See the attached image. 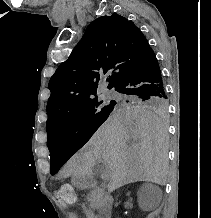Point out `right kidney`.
<instances>
[{
	"instance_id": "right-kidney-1",
	"label": "right kidney",
	"mask_w": 211,
	"mask_h": 218,
	"mask_svg": "<svg viewBox=\"0 0 211 218\" xmlns=\"http://www.w3.org/2000/svg\"><path fill=\"white\" fill-rule=\"evenodd\" d=\"M130 192H128L127 196H129Z\"/></svg>"
}]
</instances>
